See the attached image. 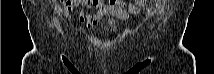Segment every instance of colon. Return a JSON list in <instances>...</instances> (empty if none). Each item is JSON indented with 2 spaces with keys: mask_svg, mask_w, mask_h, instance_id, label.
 Instances as JSON below:
<instances>
[{
  "mask_svg": "<svg viewBox=\"0 0 214 74\" xmlns=\"http://www.w3.org/2000/svg\"><path fill=\"white\" fill-rule=\"evenodd\" d=\"M135 2L143 5V4H145L146 0H136Z\"/></svg>",
  "mask_w": 214,
  "mask_h": 74,
  "instance_id": "1",
  "label": "colon"
}]
</instances>
